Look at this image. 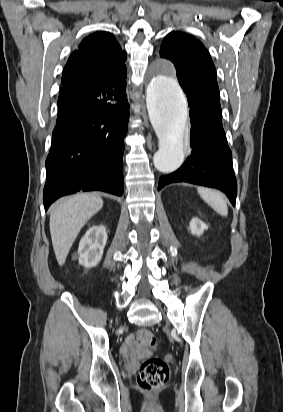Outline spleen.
<instances>
[{
	"mask_svg": "<svg viewBox=\"0 0 283 412\" xmlns=\"http://www.w3.org/2000/svg\"><path fill=\"white\" fill-rule=\"evenodd\" d=\"M197 191L200 197L218 214L223 217L228 215L227 203L219 192L204 187H199Z\"/></svg>",
	"mask_w": 283,
	"mask_h": 412,
	"instance_id": "spleen-1",
	"label": "spleen"
}]
</instances>
